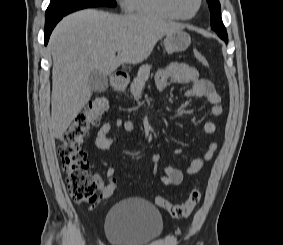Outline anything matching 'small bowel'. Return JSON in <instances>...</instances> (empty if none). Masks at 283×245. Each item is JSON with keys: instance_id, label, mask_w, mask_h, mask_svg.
I'll return each instance as SVG.
<instances>
[{"instance_id": "1", "label": "small bowel", "mask_w": 283, "mask_h": 245, "mask_svg": "<svg viewBox=\"0 0 283 245\" xmlns=\"http://www.w3.org/2000/svg\"><path fill=\"white\" fill-rule=\"evenodd\" d=\"M171 83L190 84L191 87L185 93V96L203 97L210 104V113L213 116H219L222 113L221 98L216 92L211 81L199 76L198 70L186 63H171L159 70L156 75V85L159 91H164ZM136 128V122L133 120H122L117 118L113 123H104L97 132L95 138V146L100 150L109 149L117 140L116 132L122 130L126 133L132 132ZM203 130L206 134L212 135L215 130V124L211 121H206L203 124ZM113 132V134H111ZM217 143L210 141L207 144L205 152L193 159L185 172L189 175L198 173L203 166L209 162L217 150ZM178 154L177 150L173 151ZM161 156L153 154L151 161L153 163L152 175L160 180L166 186H176L181 184L183 180V172L173 166H166L164 171H160L159 163ZM116 170L114 167H109L106 170V176L112 179L115 176ZM100 192L104 187V183L99 176L94 177Z\"/></svg>"}]
</instances>
